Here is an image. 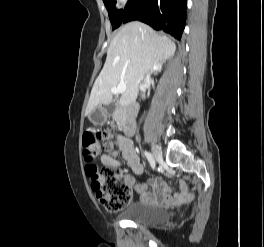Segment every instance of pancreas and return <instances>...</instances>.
I'll list each match as a JSON object with an SVG mask.
<instances>
[{"mask_svg": "<svg viewBox=\"0 0 264 247\" xmlns=\"http://www.w3.org/2000/svg\"><path fill=\"white\" fill-rule=\"evenodd\" d=\"M125 114V112L123 110H117L114 114H113V118L116 120V121H120L121 120V117Z\"/></svg>", "mask_w": 264, "mask_h": 247, "instance_id": "pancreas-1", "label": "pancreas"}]
</instances>
